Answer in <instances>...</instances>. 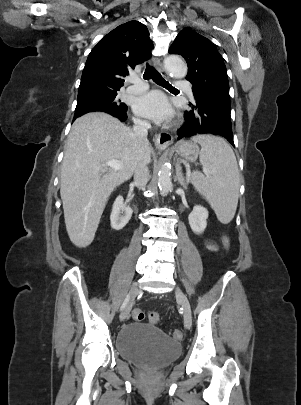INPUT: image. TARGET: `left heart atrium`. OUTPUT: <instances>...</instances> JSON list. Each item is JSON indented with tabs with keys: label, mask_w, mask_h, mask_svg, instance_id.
<instances>
[{
	"label": "left heart atrium",
	"mask_w": 301,
	"mask_h": 405,
	"mask_svg": "<svg viewBox=\"0 0 301 405\" xmlns=\"http://www.w3.org/2000/svg\"><path fill=\"white\" fill-rule=\"evenodd\" d=\"M136 114L157 123L170 121L174 110L167 97L159 91L147 92L138 97L133 105Z\"/></svg>",
	"instance_id": "obj_1"
}]
</instances>
